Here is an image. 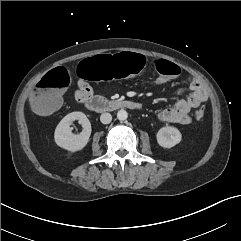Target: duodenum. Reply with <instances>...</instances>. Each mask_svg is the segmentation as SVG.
I'll use <instances>...</instances> for the list:
<instances>
[{"mask_svg": "<svg viewBox=\"0 0 241 241\" xmlns=\"http://www.w3.org/2000/svg\"><path fill=\"white\" fill-rule=\"evenodd\" d=\"M88 110L94 112H111L120 109H136L137 103L128 100H106L99 97H94L85 102Z\"/></svg>", "mask_w": 241, "mask_h": 241, "instance_id": "410a0bca", "label": "duodenum"}]
</instances>
